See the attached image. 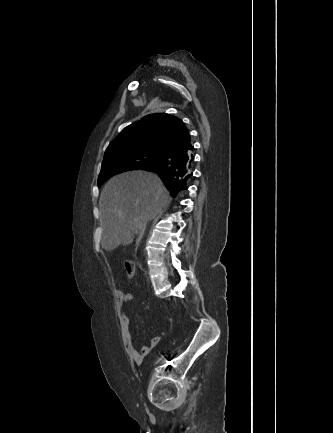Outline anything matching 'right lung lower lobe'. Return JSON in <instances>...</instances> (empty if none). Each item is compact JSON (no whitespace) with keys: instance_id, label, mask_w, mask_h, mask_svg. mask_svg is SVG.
I'll return each mask as SVG.
<instances>
[{"instance_id":"1","label":"right lung lower lobe","mask_w":333,"mask_h":433,"mask_svg":"<svg viewBox=\"0 0 333 433\" xmlns=\"http://www.w3.org/2000/svg\"><path fill=\"white\" fill-rule=\"evenodd\" d=\"M193 146H183L167 153L159 163L147 170L156 172L169 189L173 197L187 189V183L193 175Z\"/></svg>"}]
</instances>
